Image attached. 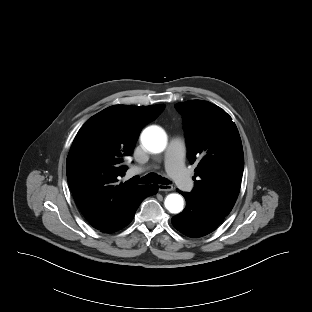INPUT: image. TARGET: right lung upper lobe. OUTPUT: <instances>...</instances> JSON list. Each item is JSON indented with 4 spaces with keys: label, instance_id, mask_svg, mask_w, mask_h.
<instances>
[{
    "label": "right lung upper lobe",
    "instance_id": "cb5924a9",
    "mask_svg": "<svg viewBox=\"0 0 312 312\" xmlns=\"http://www.w3.org/2000/svg\"><path fill=\"white\" fill-rule=\"evenodd\" d=\"M165 105H113L91 117L78 131L70 148L66 173L74 200L98 230L115 224L144 185L120 178L141 129L155 120Z\"/></svg>",
    "mask_w": 312,
    "mask_h": 312
}]
</instances>
